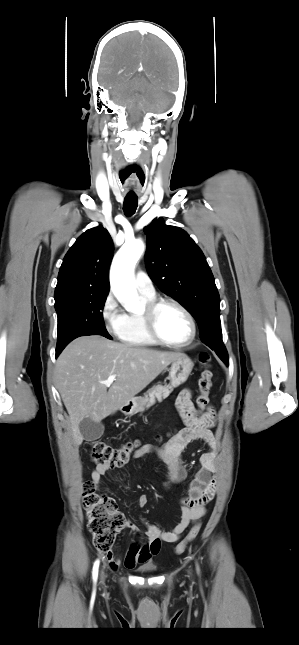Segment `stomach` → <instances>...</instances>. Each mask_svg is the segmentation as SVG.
<instances>
[{
	"label": "stomach",
	"mask_w": 299,
	"mask_h": 645,
	"mask_svg": "<svg viewBox=\"0 0 299 645\" xmlns=\"http://www.w3.org/2000/svg\"><path fill=\"white\" fill-rule=\"evenodd\" d=\"M193 367L194 363L192 360L184 354L174 360L169 372L171 385L177 387L186 382ZM146 407H148L147 397H135L120 409L126 415H133L144 410Z\"/></svg>",
	"instance_id": "obj_1"
}]
</instances>
